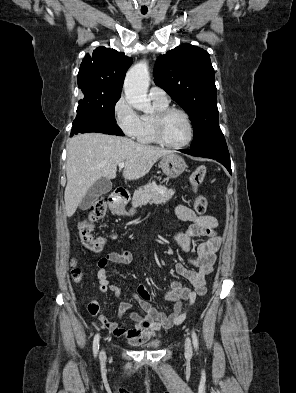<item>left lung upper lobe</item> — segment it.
<instances>
[{"mask_svg": "<svg viewBox=\"0 0 296 393\" xmlns=\"http://www.w3.org/2000/svg\"><path fill=\"white\" fill-rule=\"evenodd\" d=\"M155 83L190 116L194 137L191 149L226 143L219 127L217 89L209 53L182 44L158 57Z\"/></svg>", "mask_w": 296, "mask_h": 393, "instance_id": "obj_1", "label": "left lung upper lobe"}]
</instances>
